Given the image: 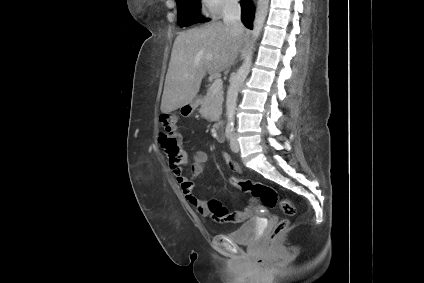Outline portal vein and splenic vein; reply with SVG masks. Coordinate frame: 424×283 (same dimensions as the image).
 Wrapping results in <instances>:
<instances>
[{"mask_svg":"<svg viewBox=\"0 0 424 283\" xmlns=\"http://www.w3.org/2000/svg\"><path fill=\"white\" fill-rule=\"evenodd\" d=\"M222 87H223V81L222 79L217 77L215 78V80L213 81L209 89L212 93H218L222 90Z\"/></svg>","mask_w":424,"mask_h":283,"instance_id":"1","label":"portal vein and splenic vein"}]
</instances>
